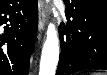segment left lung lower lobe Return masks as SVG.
<instances>
[{
    "instance_id": "0a47b994",
    "label": "left lung lower lobe",
    "mask_w": 107,
    "mask_h": 75,
    "mask_svg": "<svg viewBox=\"0 0 107 75\" xmlns=\"http://www.w3.org/2000/svg\"><path fill=\"white\" fill-rule=\"evenodd\" d=\"M95 1L64 0L67 22L60 24L59 27L62 51L56 75H70L85 69L107 70V9L100 8L81 13L85 38L75 35L71 17V14L76 12L80 5Z\"/></svg>"
}]
</instances>
